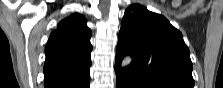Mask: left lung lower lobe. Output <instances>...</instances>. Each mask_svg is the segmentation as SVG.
<instances>
[{
	"instance_id": "obj_1",
	"label": "left lung lower lobe",
	"mask_w": 223,
	"mask_h": 88,
	"mask_svg": "<svg viewBox=\"0 0 223 88\" xmlns=\"http://www.w3.org/2000/svg\"><path fill=\"white\" fill-rule=\"evenodd\" d=\"M115 71L117 88H148L125 69H120L118 63L115 64Z\"/></svg>"
}]
</instances>
